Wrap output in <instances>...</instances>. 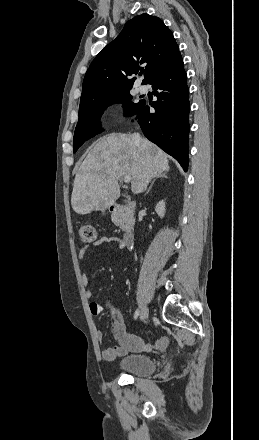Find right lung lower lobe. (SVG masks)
<instances>
[{
    "label": "right lung lower lobe",
    "instance_id": "right-lung-lower-lobe-1",
    "mask_svg": "<svg viewBox=\"0 0 259 440\" xmlns=\"http://www.w3.org/2000/svg\"><path fill=\"white\" fill-rule=\"evenodd\" d=\"M181 55L162 67L148 82L155 90L157 101L151 113L145 101L135 113L147 139L173 156L187 171L189 89Z\"/></svg>",
    "mask_w": 259,
    "mask_h": 440
}]
</instances>
